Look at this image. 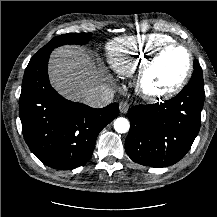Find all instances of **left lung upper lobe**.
Instances as JSON below:
<instances>
[{
    "mask_svg": "<svg viewBox=\"0 0 217 217\" xmlns=\"http://www.w3.org/2000/svg\"><path fill=\"white\" fill-rule=\"evenodd\" d=\"M193 67H194V72L192 74L189 83H193L197 85L199 88L204 89L202 69L197 60L194 61Z\"/></svg>",
    "mask_w": 217,
    "mask_h": 217,
    "instance_id": "left-lung-upper-lobe-1",
    "label": "left lung upper lobe"
}]
</instances>
